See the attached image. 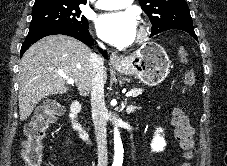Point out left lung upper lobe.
<instances>
[{
	"instance_id": "5c2ea615",
	"label": "left lung upper lobe",
	"mask_w": 227,
	"mask_h": 166,
	"mask_svg": "<svg viewBox=\"0 0 227 166\" xmlns=\"http://www.w3.org/2000/svg\"><path fill=\"white\" fill-rule=\"evenodd\" d=\"M152 23L151 36L171 30L194 29L185 0H139Z\"/></svg>"
}]
</instances>
